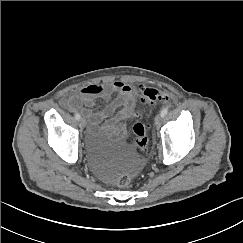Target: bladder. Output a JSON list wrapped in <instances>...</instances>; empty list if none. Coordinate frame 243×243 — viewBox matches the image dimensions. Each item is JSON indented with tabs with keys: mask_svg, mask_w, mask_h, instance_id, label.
I'll list each match as a JSON object with an SVG mask.
<instances>
[{
	"mask_svg": "<svg viewBox=\"0 0 243 243\" xmlns=\"http://www.w3.org/2000/svg\"><path fill=\"white\" fill-rule=\"evenodd\" d=\"M118 133L113 126L101 124L94 131L89 133V144L97 148L99 152L104 153L109 147L115 145ZM118 167L123 171L139 170L142 165L141 159L133 148L123 146L117 151Z\"/></svg>",
	"mask_w": 243,
	"mask_h": 243,
	"instance_id": "obj_1",
	"label": "bladder"
}]
</instances>
